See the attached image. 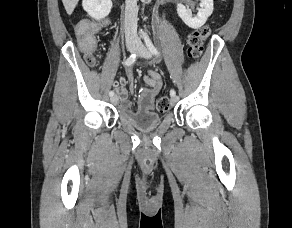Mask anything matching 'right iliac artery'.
Returning a JSON list of instances; mask_svg holds the SVG:
<instances>
[{
    "mask_svg": "<svg viewBox=\"0 0 292 228\" xmlns=\"http://www.w3.org/2000/svg\"><path fill=\"white\" fill-rule=\"evenodd\" d=\"M137 59V54L136 53H133L131 54L124 62V65L125 66H131ZM109 95L110 96H113L114 95V91H110L109 92Z\"/></svg>",
    "mask_w": 292,
    "mask_h": 228,
    "instance_id": "1",
    "label": "right iliac artery"
}]
</instances>
